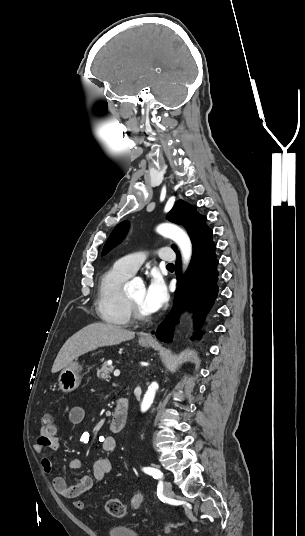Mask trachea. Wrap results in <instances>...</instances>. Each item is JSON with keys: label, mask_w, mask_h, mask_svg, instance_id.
Masks as SVG:
<instances>
[{"label": "trachea", "mask_w": 305, "mask_h": 536, "mask_svg": "<svg viewBox=\"0 0 305 536\" xmlns=\"http://www.w3.org/2000/svg\"><path fill=\"white\" fill-rule=\"evenodd\" d=\"M167 269H168V270H174V265H173V263H168V265H167Z\"/></svg>", "instance_id": "obj_1"}]
</instances>
